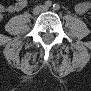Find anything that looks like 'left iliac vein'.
<instances>
[{
    "label": "left iliac vein",
    "instance_id": "obj_1",
    "mask_svg": "<svg viewBox=\"0 0 91 91\" xmlns=\"http://www.w3.org/2000/svg\"><path fill=\"white\" fill-rule=\"evenodd\" d=\"M48 9H49L48 7H45L43 8V11H48Z\"/></svg>",
    "mask_w": 91,
    "mask_h": 91
}]
</instances>
